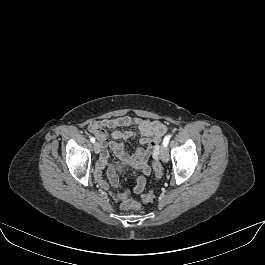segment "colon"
<instances>
[{"mask_svg": "<svg viewBox=\"0 0 265 265\" xmlns=\"http://www.w3.org/2000/svg\"><path fill=\"white\" fill-rule=\"evenodd\" d=\"M153 169H154L156 179H160L162 177V174H163V168H162L161 163L158 160V157H156L154 162H153ZM153 198H154V193H153V191H150V192L146 193L142 199H143L144 203H150V202H152ZM120 205L125 210H129V209H135L136 210V209L140 208V204L137 201H135L131 198H128V196H123L120 199Z\"/></svg>", "mask_w": 265, "mask_h": 265, "instance_id": "colon-1", "label": "colon"}]
</instances>
